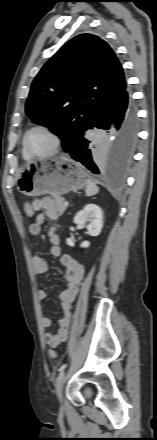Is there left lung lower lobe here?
I'll list each match as a JSON object with an SVG mask.
<instances>
[{
	"instance_id": "left-lung-lower-lobe-1",
	"label": "left lung lower lobe",
	"mask_w": 157,
	"mask_h": 440,
	"mask_svg": "<svg viewBox=\"0 0 157 440\" xmlns=\"http://www.w3.org/2000/svg\"><path fill=\"white\" fill-rule=\"evenodd\" d=\"M137 129V110L126 88L96 109L66 152L94 174L119 176L131 160ZM90 130H103L104 135H91Z\"/></svg>"
}]
</instances>
